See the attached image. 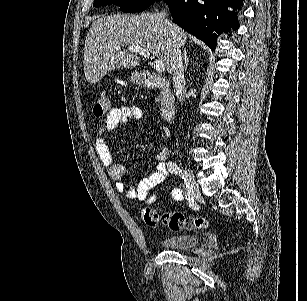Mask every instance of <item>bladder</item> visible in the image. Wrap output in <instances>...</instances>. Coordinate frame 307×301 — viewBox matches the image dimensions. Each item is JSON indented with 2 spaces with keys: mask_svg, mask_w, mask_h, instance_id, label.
<instances>
[{
  "mask_svg": "<svg viewBox=\"0 0 307 301\" xmlns=\"http://www.w3.org/2000/svg\"><path fill=\"white\" fill-rule=\"evenodd\" d=\"M201 241L200 238L194 235H174L164 238L159 243L167 250H188L189 247L197 245Z\"/></svg>",
  "mask_w": 307,
  "mask_h": 301,
  "instance_id": "obj_1",
  "label": "bladder"
}]
</instances>
